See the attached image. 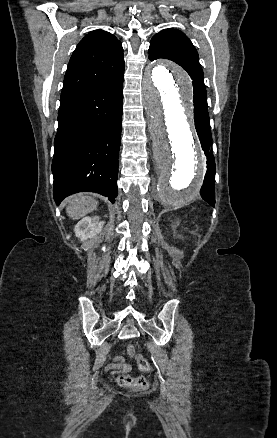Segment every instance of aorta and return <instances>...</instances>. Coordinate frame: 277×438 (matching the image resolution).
<instances>
[{"mask_svg": "<svg viewBox=\"0 0 277 438\" xmlns=\"http://www.w3.org/2000/svg\"><path fill=\"white\" fill-rule=\"evenodd\" d=\"M142 95L160 177L159 199L182 206L199 193L206 159L193 125L191 79L179 67L159 62L148 67Z\"/></svg>", "mask_w": 277, "mask_h": 438, "instance_id": "762f6f07", "label": "aorta"}]
</instances>
